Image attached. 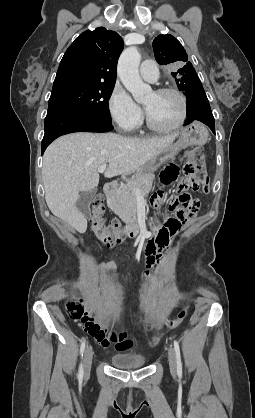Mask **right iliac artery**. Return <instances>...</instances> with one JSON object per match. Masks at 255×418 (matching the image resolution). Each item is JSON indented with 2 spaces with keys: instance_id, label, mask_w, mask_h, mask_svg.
Instances as JSON below:
<instances>
[{
  "instance_id": "obj_1",
  "label": "right iliac artery",
  "mask_w": 255,
  "mask_h": 418,
  "mask_svg": "<svg viewBox=\"0 0 255 418\" xmlns=\"http://www.w3.org/2000/svg\"><path fill=\"white\" fill-rule=\"evenodd\" d=\"M85 345H86L85 340H83L82 343H81V346H80V354H81V356H83V353H84V350H85ZM83 375H84L83 365L80 364L79 371H78V378H79V380H82Z\"/></svg>"
}]
</instances>
